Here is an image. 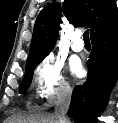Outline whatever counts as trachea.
Segmentation results:
<instances>
[{
    "label": "trachea",
    "mask_w": 118,
    "mask_h": 123,
    "mask_svg": "<svg viewBox=\"0 0 118 123\" xmlns=\"http://www.w3.org/2000/svg\"><path fill=\"white\" fill-rule=\"evenodd\" d=\"M83 39H84V42H90V39H89V30H86L84 32Z\"/></svg>",
    "instance_id": "trachea-1"
}]
</instances>
